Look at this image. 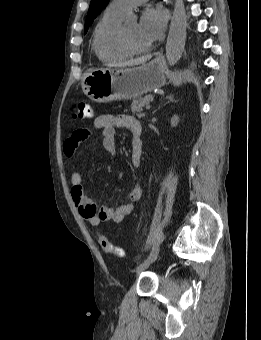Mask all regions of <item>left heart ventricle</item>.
I'll return each mask as SVG.
<instances>
[{"mask_svg":"<svg viewBox=\"0 0 261 340\" xmlns=\"http://www.w3.org/2000/svg\"><path fill=\"white\" fill-rule=\"evenodd\" d=\"M125 30L130 42L135 48L143 49L149 46L148 42L141 36L137 22L126 24Z\"/></svg>","mask_w":261,"mask_h":340,"instance_id":"obj_1","label":"left heart ventricle"}]
</instances>
